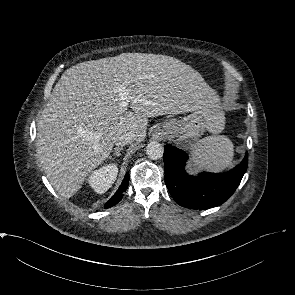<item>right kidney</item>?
I'll return each instance as SVG.
<instances>
[{
	"label": "right kidney",
	"mask_w": 295,
	"mask_h": 295,
	"mask_svg": "<svg viewBox=\"0 0 295 295\" xmlns=\"http://www.w3.org/2000/svg\"><path fill=\"white\" fill-rule=\"evenodd\" d=\"M118 167L116 164H108L94 171L88 178L89 185L98 194L106 192L117 178Z\"/></svg>",
	"instance_id": "right-kidney-1"
}]
</instances>
